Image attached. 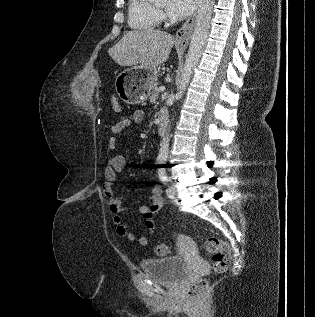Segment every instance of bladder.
Returning a JSON list of instances; mask_svg holds the SVG:
<instances>
[{"instance_id":"31cf9c89","label":"bladder","mask_w":315,"mask_h":317,"mask_svg":"<svg viewBox=\"0 0 315 317\" xmlns=\"http://www.w3.org/2000/svg\"><path fill=\"white\" fill-rule=\"evenodd\" d=\"M141 268L156 282L170 287L179 285L188 272V264L178 256L145 259Z\"/></svg>"}]
</instances>
